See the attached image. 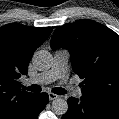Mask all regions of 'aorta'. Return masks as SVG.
I'll use <instances>...</instances> for the list:
<instances>
[{"label":"aorta","mask_w":119,"mask_h":119,"mask_svg":"<svg viewBox=\"0 0 119 119\" xmlns=\"http://www.w3.org/2000/svg\"><path fill=\"white\" fill-rule=\"evenodd\" d=\"M35 68L39 71L48 70L53 65V56L47 50H39L32 58ZM68 110V103L65 99L56 98L52 102V111L56 115H64Z\"/></svg>","instance_id":"aorta-1"}]
</instances>
